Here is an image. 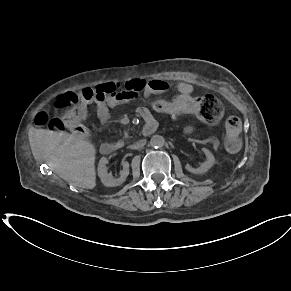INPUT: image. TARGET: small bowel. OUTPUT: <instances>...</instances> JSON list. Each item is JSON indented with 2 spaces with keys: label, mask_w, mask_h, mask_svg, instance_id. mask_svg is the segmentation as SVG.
Instances as JSON below:
<instances>
[{
  "label": "small bowel",
  "mask_w": 291,
  "mask_h": 291,
  "mask_svg": "<svg viewBox=\"0 0 291 291\" xmlns=\"http://www.w3.org/2000/svg\"><path fill=\"white\" fill-rule=\"evenodd\" d=\"M171 88V85L164 80L161 79H151L145 80L142 78H132L125 83V88L121 91H117L112 97H107L106 99L95 103L96 114L101 122H105L109 118V110L110 108H114L119 106L122 103H125L139 94H143L145 96H149L152 94L163 93ZM175 90L177 91L176 98H195L192 95V87L190 84L186 82H179L174 85ZM154 109L156 110L155 106ZM157 112H160L156 110ZM138 112L147 119L152 116L150 110L146 107H139ZM165 113L174 117L183 116V114L176 115L167 113L165 111L160 112ZM192 115V114H190ZM191 128L188 127L189 131Z\"/></svg>",
  "instance_id": "small-bowel-1"
}]
</instances>
